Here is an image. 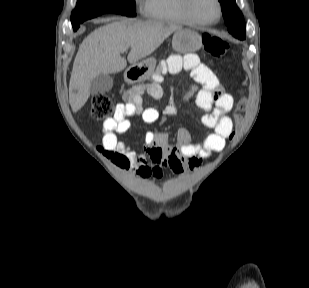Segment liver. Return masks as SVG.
<instances>
[{"label":"liver","instance_id":"obj_1","mask_svg":"<svg viewBox=\"0 0 309 288\" xmlns=\"http://www.w3.org/2000/svg\"><path fill=\"white\" fill-rule=\"evenodd\" d=\"M181 27L157 21L120 19L91 32L79 46L69 83V103L74 113L90 96L91 81L100 74L118 73L152 54ZM130 48L127 60L123 48Z\"/></svg>","mask_w":309,"mask_h":288}]
</instances>
